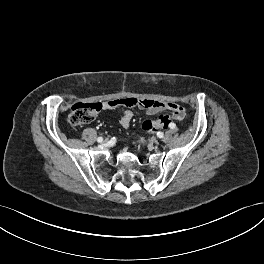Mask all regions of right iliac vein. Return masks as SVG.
<instances>
[{"instance_id": "obj_1", "label": "right iliac vein", "mask_w": 264, "mask_h": 264, "mask_svg": "<svg viewBox=\"0 0 264 264\" xmlns=\"http://www.w3.org/2000/svg\"><path fill=\"white\" fill-rule=\"evenodd\" d=\"M101 143L107 144L108 143V138L104 137L103 140L101 141Z\"/></svg>"}]
</instances>
